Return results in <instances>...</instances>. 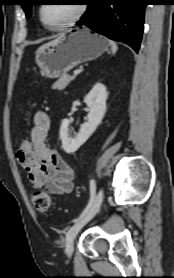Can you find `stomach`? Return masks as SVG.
<instances>
[{
  "label": "stomach",
  "instance_id": "obj_1",
  "mask_svg": "<svg viewBox=\"0 0 174 278\" xmlns=\"http://www.w3.org/2000/svg\"><path fill=\"white\" fill-rule=\"evenodd\" d=\"M108 46L105 37L82 27L40 47L35 62L42 76L55 79L83 62L96 59Z\"/></svg>",
  "mask_w": 174,
  "mask_h": 278
}]
</instances>
